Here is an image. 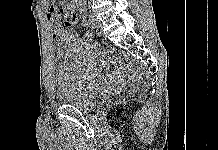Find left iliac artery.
Listing matches in <instances>:
<instances>
[{
  "instance_id": "obj_1",
  "label": "left iliac artery",
  "mask_w": 218,
  "mask_h": 150,
  "mask_svg": "<svg viewBox=\"0 0 218 150\" xmlns=\"http://www.w3.org/2000/svg\"><path fill=\"white\" fill-rule=\"evenodd\" d=\"M85 26L88 27L90 30L93 28L91 25H90V22L85 20Z\"/></svg>"
}]
</instances>
